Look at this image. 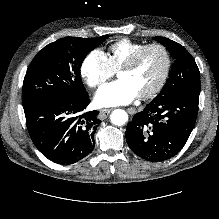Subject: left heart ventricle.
I'll return each mask as SVG.
<instances>
[{"label": "left heart ventricle", "instance_id": "1", "mask_svg": "<svg viewBox=\"0 0 219 219\" xmlns=\"http://www.w3.org/2000/svg\"><path fill=\"white\" fill-rule=\"evenodd\" d=\"M164 67V54L160 49L152 48L141 56L133 68L122 70L117 75L127 80L139 95L149 91L158 82Z\"/></svg>", "mask_w": 219, "mask_h": 219}]
</instances>
